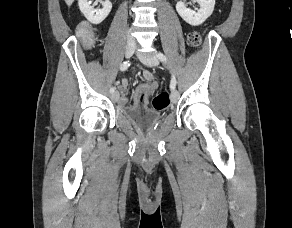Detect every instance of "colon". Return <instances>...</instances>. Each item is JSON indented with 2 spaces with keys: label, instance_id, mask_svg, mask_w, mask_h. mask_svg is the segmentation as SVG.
Masks as SVG:
<instances>
[{
  "label": "colon",
  "instance_id": "colon-1",
  "mask_svg": "<svg viewBox=\"0 0 292 228\" xmlns=\"http://www.w3.org/2000/svg\"><path fill=\"white\" fill-rule=\"evenodd\" d=\"M78 36L86 47H91L94 45L95 38L93 31L88 25H80L77 30ZM201 34L194 32L190 34L188 38V44L192 48H197L201 44ZM152 105L156 110L162 111L169 106V95L166 92H160L156 94L152 100Z\"/></svg>",
  "mask_w": 292,
  "mask_h": 228
}]
</instances>
